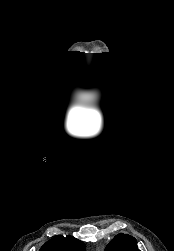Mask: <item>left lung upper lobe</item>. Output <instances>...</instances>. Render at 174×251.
Wrapping results in <instances>:
<instances>
[{
  "label": "left lung upper lobe",
  "instance_id": "5c2ea615",
  "mask_svg": "<svg viewBox=\"0 0 174 251\" xmlns=\"http://www.w3.org/2000/svg\"><path fill=\"white\" fill-rule=\"evenodd\" d=\"M105 251H140L137 248V241L127 234H118L107 245Z\"/></svg>",
  "mask_w": 174,
  "mask_h": 251
}]
</instances>
